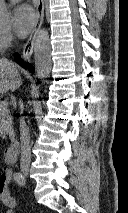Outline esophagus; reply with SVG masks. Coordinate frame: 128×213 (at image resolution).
Returning <instances> with one entry per match:
<instances>
[{
	"label": "esophagus",
	"mask_w": 128,
	"mask_h": 213,
	"mask_svg": "<svg viewBox=\"0 0 128 213\" xmlns=\"http://www.w3.org/2000/svg\"><path fill=\"white\" fill-rule=\"evenodd\" d=\"M43 20H44V0H36V21L30 33V36L23 47L22 57L24 60H29L33 53L36 35L43 24Z\"/></svg>",
	"instance_id": "esophagus-1"
}]
</instances>
